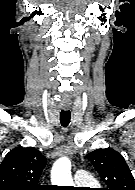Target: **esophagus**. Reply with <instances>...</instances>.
I'll return each mask as SVG.
<instances>
[{
	"instance_id": "obj_1",
	"label": "esophagus",
	"mask_w": 135,
	"mask_h": 190,
	"mask_svg": "<svg viewBox=\"0 0 135 190\" xmlns=\"http://www.w3.org/2000/svg\"><path fill=\"white\" fill-rule=\"evenodd\" d=\"M63 108H64L65 110L70 109V104H63Z\"/></svg>"
}]
</instances>
